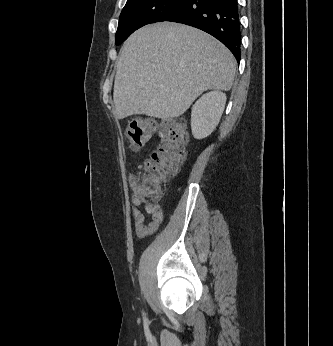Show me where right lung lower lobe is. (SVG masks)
Masks as SVG:
<instances>
[{
  "label": "right lung lower lobe",
  "mask_w": 333,
  "mask_h": 346,
  "mask_svg": "<svg viewBox=\"0 0 333 346\" xmlns=\"http://www.w3.org/2000/svg\"><path fill=\"white\" fill-rule=\"evenodd\" d=\"M164 21L201 29L241 58V26L237 0H184Z\"/></svg>",
  "instance_id": "98d812e1"
}]
</instances>
